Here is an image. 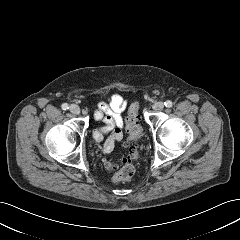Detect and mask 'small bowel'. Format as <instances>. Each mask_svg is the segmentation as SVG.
Returning a JSON list of instances; mask_svg holds the SVG:
<instances>
[{"mask_svg": "<svg viewBox=\"0 0 240 240\" xmlns=\"http://www.w3.org/2000/svg\"><path fill=\"white\" fill-rule=\"evenodd\" d=\"M127 102L120 94H113L108 103L100 102L94 111V119L103 124L93 131V140L102 143L103 153H110L115 145L123 139L122 112Z\"/></svg>", "mask_w": 240, "mask_h": 240, "instance_id": "obj_1", "label": "small bowel"}]
</instances>
